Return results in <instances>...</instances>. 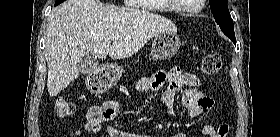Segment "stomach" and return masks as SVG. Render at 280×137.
Wrapping results in <instances>:
<instances>
[{
  "label": "stomach",
  "instance_id": "stomach-1",
  "mask_svg": "<svg viewBox=\"0 0 280 137\" xmlns=\"http://www.w3.org/2000/svg\"><path fill=\"white\" fill-rule=\"evenodd\" d=\"M180 39L173 32H163L154 37L150 56L155 60H166L173 57L180 48ZM123 73V69L117 64L106 67L103 75V87L98 82H87L92 92H102L117 83Z\"/></svg>",
  "mask_w": 280,
  "mask_h": 137
}]
</instances>
